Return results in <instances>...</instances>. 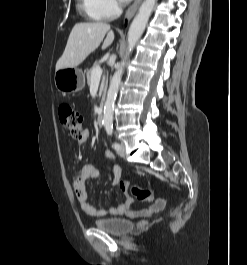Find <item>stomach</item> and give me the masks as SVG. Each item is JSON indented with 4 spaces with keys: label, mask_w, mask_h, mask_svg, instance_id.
I'll return each instance as SVG.
<instances>
[{
    "label": "stomach",
    "mask_w": 247,
    "mask_h": 265,
    "mask_svg": "<svg viewBox=\"0 0 247 265\" xmlns=\"http://www.w3.org/2000/svg\"><path fill=\"white\" fill-rule=\"evenodd\" d=\"M55 86L61 93H74L85 86V74L79 68H63L55 72Z\"/></svg>",
    "instance_id": "obj_1"
}]
</instances>
